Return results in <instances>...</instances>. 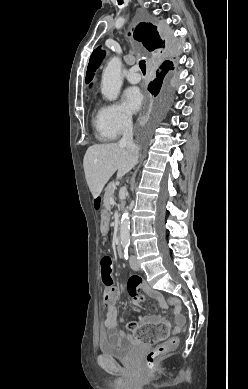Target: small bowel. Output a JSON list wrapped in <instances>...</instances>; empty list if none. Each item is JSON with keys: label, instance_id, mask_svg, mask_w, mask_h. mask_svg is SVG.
I'll use <instances>...</instances> for the list:
<instances>
[{"label": "small bowel", "instance_id": "obj_1", "mask_svg": "<svg viewBox=\"0 0 248 389\" xmlns=\"http://www.w3.org/2000/svg\"><path fill=\"white\" fill-rule=\"evenodd\" d=\"M145 273L144 272H132L130 276L127 278V281L129 282L127 285V292L135 306H139L142 304V302L145 300V295L158 300L163 308H166V303L164 300L163 295L150 288L147 283L144 281ZM108 289H114L118 296V289L116 287H110L106 288ZM115 302L107 306L106 311V319L103 323V335H111L115 333H119L123 336H126L130 338V336L122 330L117 329L118 324V316H117V310L115 308ZM158 319V316H149L147 317L146 321L148 322H154ZM120 321H123L121 318Z\"/></svg>", "mask_w": 248, "mask_h": 389}]
</instances>
